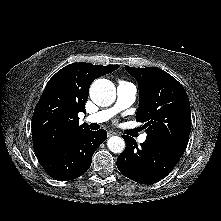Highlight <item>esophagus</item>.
I'll return each mask as SVG.
<instances>
[{
  "instance_id": "34e87169",
  "label": "esophagus",
  "mask_w": 221,
  "mask_h": 221,
  "mask_svg": "<svg viewBox=\"0 0 221 221\" xmlns=\"http://www.w3.org/2000/svg\"><path fill=\"white\" fill-rule=\"evenodd\" d=\"M116 134L117 133L115 131H111V130L108 131V137L116 135Z\"/></svg>"
}]
</instances>
